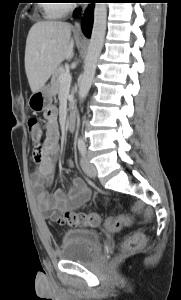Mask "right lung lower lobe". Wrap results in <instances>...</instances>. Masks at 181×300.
<instances>
[{
	"label": "right lung lower lobe",
	"instance_id": "98d812e1",
	"mask_svg": "<svg viewBox=\"0 0 181 300\" xmlns=\"http://www.w3.org/2000/svg\"><path fill=\"white\" fill-rule=\"evenodd\" d=\"M93 5H91L85 12V19L83 21V32L87 37H90L93 24ZM77 14V13H75Z\"/></svg>",
	"mask_w": 181,
	"mask_h": 300
}]
</instances>
